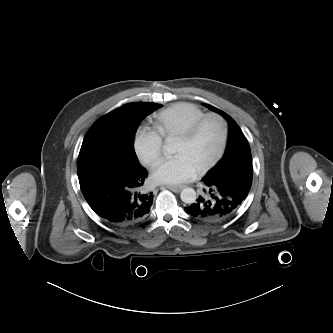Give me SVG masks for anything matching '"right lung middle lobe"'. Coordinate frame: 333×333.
<instances>
[{
  "instance_id": "dd1d6c3e",
  "label": "right lung middle lobe",
  "mask_w": 333,
  "mask_h": 333,
  "mask_svg": "<svg viewBox=\"0 0 333 333\" xmlns=\"http://www.w3.org/2000/svg\"><path fill=\"white\" fill-rule=\"evenodd\" d=\"M160 106L150 102L129 103L99 118L84 137L78 163L91 161L140 168L133 136L140 122Z\"/></svg>"
}]
</instances>
